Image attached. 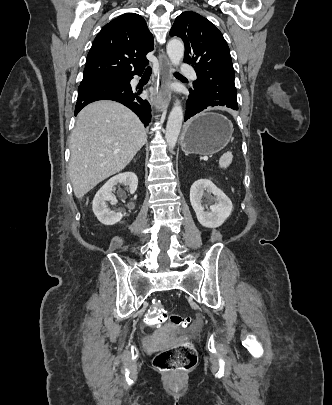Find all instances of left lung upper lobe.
<instances>
[{
	"mask_svg": "<svg viewBox=\"0 0 332 405\" xmlns=\"http://www.w3.org/2000/svg\"><path fill=\"white\" fill-rule=\"evenodd\" d=\"M170 36L182 38L184 62L192 64L197 80L190 89L206 105L238 110L234 69L229 47L222 33L206 18L186 11L175 20Z\"/></svg>",
	"mask_w": 332,
	"mask_h": 405,
	"instance_id": "1",
	"label": "left lung upper lobe"
}]
</instances>
